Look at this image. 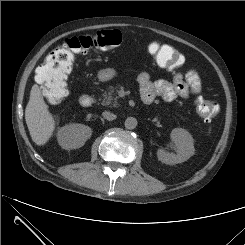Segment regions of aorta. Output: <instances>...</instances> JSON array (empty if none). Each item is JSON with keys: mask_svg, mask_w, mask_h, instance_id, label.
<instances>
[{"mask_svg": "<svg viewBox=\"0 0 245 245\" xmlns=\"http://www.w3.org/2000/svg\"><path fill=\"white\" fill-rule=\"evenodd\" d=\"M125 127L127 129H135L136 126H137V119L134 118V117H128L126 120H125V123H124Z\"/></svg>", "mask_w": 245, "mask_h": 245, "instance_id": "1", "label": "aorta"}]
</instances>
